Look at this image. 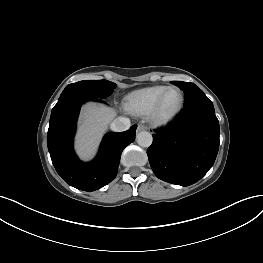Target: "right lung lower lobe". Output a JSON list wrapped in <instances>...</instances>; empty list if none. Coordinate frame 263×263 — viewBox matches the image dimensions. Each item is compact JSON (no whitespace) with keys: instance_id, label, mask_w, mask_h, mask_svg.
Segmentation results:
<instances>
[{"instance_id":"obj_1","label":"right lung lower lobe","mask_w":263,"mask_h":263,"mask_svg":"<svg viewBox=\"0 0 263 263\" xmlns=\"http://www.w3.org/2000/svg\"><path fill=\"white\" fill-rule=\"evenodd\" d=\"M103 102L97 97L71 96L52 109L47 134L48 150L57 173L71 186L92 192L110 183L117 175L121 153L134 142L136 125L125 132L103 137L97 157L81 162L73 150V137L80 108L84 102Z\"/></svg>"}]
</instances>
